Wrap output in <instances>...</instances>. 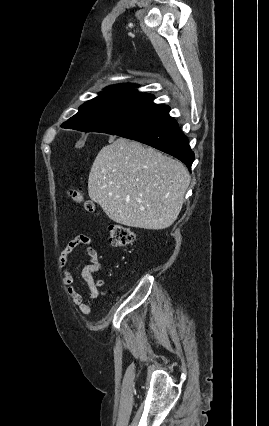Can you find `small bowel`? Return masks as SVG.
Instances as JSON below:
<instances>
[{
  "label": "small bowel",
  "mask_w": 269,
  "mask_h": 426,
  "mask_svg": "<svg viewBox=\"0 0 269 426\" xmlns=\"http://www.w3.org/2000/svg\"><path fill=\"white\" fill-rule=\"evenodd\" d=\"M78 247L83 248L89 260V263L81 271V277L89 289L88 301H84L83 295L74 286V278L68 268V257ZM58 263L63 273L62 283L67 288L71 302L78 307L81 314H89L92 310L93 301L98 298L99 289L103 285L101 280L94 278V273L100 271L102 265L99 262L97 251L92 245L91 238L87 235H79L69 241L62 250Z\"/></svg>",
  "instance_id": "1"
}]
</instances>
